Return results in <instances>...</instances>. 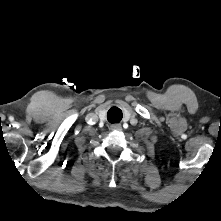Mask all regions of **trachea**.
<instances>
[{
  "instance_id": "obj_1",
  "label": "trachea",
  "mask_w": 221,
  "mask_h": 221,
  "mask_svg": "<svg viewBox=\"0 0 221 221\" xmlns=\"http://www.w3.org/2000/svg\"><path fill=\"white\" fill-rule=\"evenodd\" d=\"M108 121L111 123L120 122L122 119V111L117 107H112L107 114Z\"/></svg>"
}]
</instances>
